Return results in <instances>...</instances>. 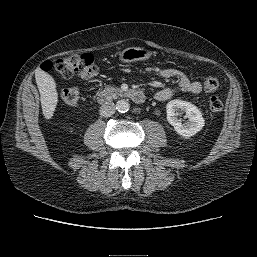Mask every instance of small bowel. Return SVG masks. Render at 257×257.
<instances>
[{
  "label": "small bowel",
  "mask_w": 257,
  "mask_h": 257,
  "mask_svg": "<svg viewBox=\"0 0 257 257\" xmlns=\"http://www.w3.org/2000/svg\"><path fill=\"white\" fill-rule=\"evenodd\" d=\"M159 76L163 78H175L178 87L184 92L198 94L202 91V85L198 81L191 80L183 72L178 69L154 66L151 68ZM174 91L171 88H163L155 93V99L158 101H167L173 96Z\"/></svg>",
  "instance_id": "1"
}]
</instances>
